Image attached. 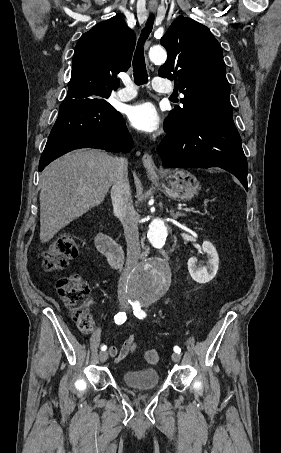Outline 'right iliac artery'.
Segmentation results:
<instances>
[{
	"instance_id": "right-iliac-artery-1",
	"label": "right iliac artery",
	"mask_w": 281,
	"mask_h": 453,
	"mask_svg": "<svg viewBox=\"0 0 281 453\" xmlns=\"http://www.w3.org/2000/svg\"><path fill=\"white\" fill-rule=\"evenodd\" d=\"M114 319H115V323L120 325L126 321L127 317H126L125 312H119L117 315L114 316ZM106 349H107V347L105 345L101 347L102 351H105Z\"/></svg>"
}]
</instances>
